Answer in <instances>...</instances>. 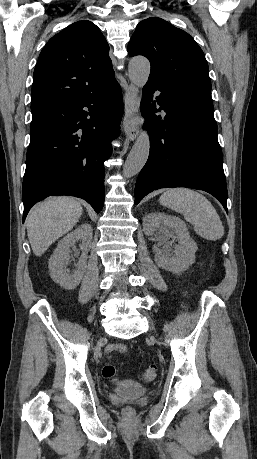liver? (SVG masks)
<instances>
[{"label": "liver", "instance_id": "6515ba94", "mask_svg": "<svg viewBox=\"0 0 257 459\" xmlns=\"http://www.w3.org/2000/svg\"><path fill=\"white\" fill-rule=\"evenodd\" d=\"M83 208L70 197H52L36 206L27 218L28 239L36 256L69 232L79 221Z\"/></svg>", "mask_w": 257, "mask_h": 459}]
</instances>
